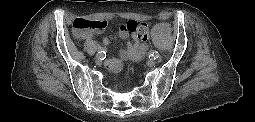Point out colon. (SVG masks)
Here are the masks:
<instances>
[{"mask_svg":"<svg viewBox=\"0 0 255 122\" xmlns=\"http://www.w3.org/2000/svg\"><path fill=\"white\" fill-rule=\"evenodd\" d=\"M124 26L129 32H136L141 40H144L148 36L149 23L130 20ZM106 27L107 22L104 20H90L85 18H77L72 24L73 33L79 38H82L88 31H103Z\"/></svg>","mask_w":255,"mask_h":122,"instance_id":"obj_1","label":"colon"}]
</instances>
